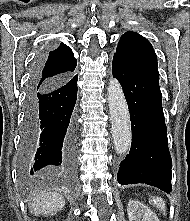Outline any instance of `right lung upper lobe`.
Here are the masks:
<instances>
[{
    "mask_svg": "<svg viewBox=\"0 0 190 221\" xmlns=\"http://www.w3.org/2000/svg\"><path fill=\"white\" fill-rule=\"evenodd\" d=\"M76 65L72 50L61 43L57 49L50 51L46 61L38 69L36 82L38 85H46L64 81L73 75Z\"/></svg>",
    "mask_w": 190,
    "mask_h": 221,
    "instance_id": "1",
    "label": "right lung upper lobe"
}]
</instances>
